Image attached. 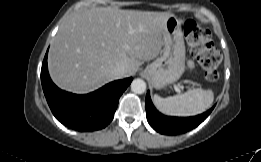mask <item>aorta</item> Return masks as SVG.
Here are the masks:
<instances>
[{
  "label": "aorta",
  "mask_w": 261,
  "mask_h": 162,
  "mask_svg": "<svg viewBox=\"0 0 261 162\" xmlns=\"http://www.w3.org/2000/svg\"><path fill=\"white\" fill-rule=\"evenodd\" d=\"M131 90L136 94H142L146 91V83L142 79H135L131 83Z\"/></svg>",
  "instance_id": "1"
}]
</instances>
